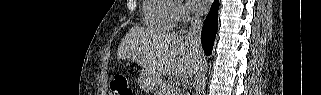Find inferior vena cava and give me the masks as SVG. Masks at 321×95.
Here are the masks:
<instances>
[{
	"instance_id": "inferior-vena-cava-1",
	"label": "inferior vena cava",
	"mask_w": 321,
	"mask_h": 95,
	"mask_svg": "<svg viewBox=\"0 0 321 95\" xmlns=\"http://www.w3.org/2000/svg\"><path fill=\"white\" fill-rule=\"evenodd\" d=\"M201 29H202V20L200 16L199 15L193 16L191 18V26L189 28L188 38L197 47H201V39H200Z\"/></svg>"
}]
</instances>
